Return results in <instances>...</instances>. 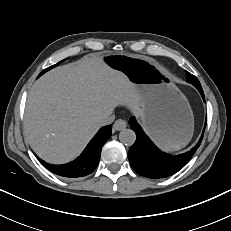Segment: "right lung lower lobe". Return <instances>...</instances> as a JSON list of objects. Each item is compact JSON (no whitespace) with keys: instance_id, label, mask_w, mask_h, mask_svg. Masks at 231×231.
Listing matches in <instances>:
<instances>
[{"instance_id":"right-lung-lower-lobe-1","label":"right lung lower lobe","mask_w":231,"mask_h":231,"mask_svg":"<svg viewBox=\"0 0 231 231\" xmlns=\"http://www.w3.org/2000/svg\"><path fill=\"white\" fill-rule=\"evenodd\" d=\"M111 125L102 127L87 145L83 153L73 162L64 165H52L38 158L52 173L67 177L77 178L92 173L99 162L101 148L104 143L111 137Z\"/></svg>"}]
</instances>
